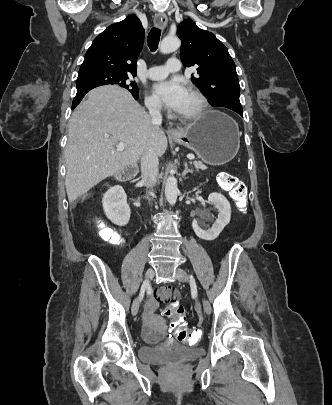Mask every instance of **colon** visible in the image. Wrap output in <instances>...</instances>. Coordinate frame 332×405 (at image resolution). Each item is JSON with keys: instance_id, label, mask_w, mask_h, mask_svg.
Masks as SVG:
<instances>
[{"instance_id": "obj_1", "label": "colon", "mask_w": 332, "mask_h": 405, "mask_svg": "<svg viewBox=\"0 0 332 405\" xmlns=\"http://www.w3.org/2000/svg\"><path fill=\"white\" fill-rule=\"evenodd\" d=\"M219 185L226 190L235 201L240 211H244L247 202V190L244 183L235 175L222 173L218 178ZM97 228L103 239L112 241L116 237L115 232L103 221L97 222ZM116 243H124V238H116ZM173 288V287H166ZM178 298V293L177 296ZM163 317L169 322L171 342H182L189 345H196L203 333L202 325H190L189 321L192 312L182 307L179 299H168L167 306H163Z\"/></svg>"}]
</instances>
